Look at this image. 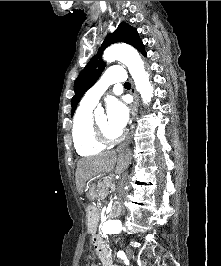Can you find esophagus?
I'll use <instances>...</instances> for the list:
<instances>
[{
  "label": "esophagus",
  "instance_id": "esophagus-1",
  "mask_svg": "<svg viewBox=\"0 0 221 266\" xmlns=\"http://www.w3.org/2000/svg\"><path fill=\"white\" fill-rule=\"evenodd\" d=\"M131 94L133 95V99H134L133 103L131 105V108H130V110H131V122H132L136 116V111H137L136 106L138 104V97H137L136 90H135V87H134L132 80H131ZM134 128H135V125L132 124L130 127V131L127 135V138L123 144L124 146H128L130 144L132 136H133Z\"/></svg>",
  "mask_w": 221,
  "mask_h": 266
}]
</instances>
